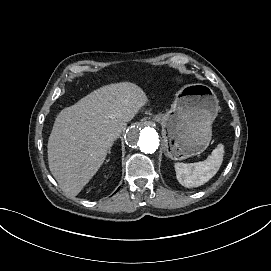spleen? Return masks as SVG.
I'll return each instance as SVG.
<instances>
[{
	"mask_svg": "<svg viewBox=\"0 0 271 271\" xmlns=\"http://www.w3.org/2000/svg\"><path fill=\"white\" fill-rule=\"evenodd\" d=\"M224 146L218 144L206 160L197 163H175L176 175L187 178L200 186L209 181L219 170L223 161Z\"/></svg>",
	"mask_w": 271,
	"mask_h": 271,
	"instance_id": "3e777b00",
	"label": "spleen"
}]
</instances>
